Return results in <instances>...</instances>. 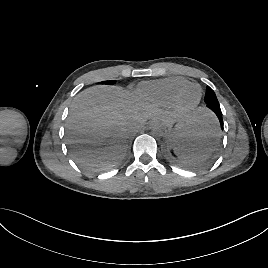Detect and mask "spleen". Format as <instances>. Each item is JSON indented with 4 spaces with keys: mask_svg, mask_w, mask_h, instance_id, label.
Masks as SVG:
<instances>
[{
    "mask_svg": "<svg viewBox=\"0 0 268 268\" xmlns=\"http://www.w3.org/2000/svg\"><path fill=\"white\" fill-rule=\"evenodd\" d=\"M214 115L204 113L192 126L188 139L189 147L174 148L179 158L189 161L201 160L215 152L221 131Z\"/></svg>",
    "mask_w": 268,
    "mask_h": 268,
    "instance_id": "spleen-1",
    "label": "spleen"
}]
</instances>
